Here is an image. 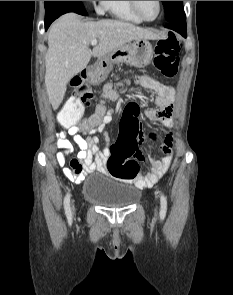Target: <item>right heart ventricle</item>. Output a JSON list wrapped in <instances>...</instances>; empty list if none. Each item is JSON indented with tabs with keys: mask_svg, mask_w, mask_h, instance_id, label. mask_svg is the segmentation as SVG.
I'll list each match as a JSON object with an SVG mask.
<instances>
[{
	"mask_svg": "<svg viewBox=\"0 0 233 295\" xmlns=\"http://www.w3.org/2000/svg\"><path fill=\"white\" fill-rule=\"evenodd\" d=\"M106 10L115 18L134 23L142 22L133 12L129 1H107Z\"/></svg>",
	"mask_w": 233,
	"mask_h": 295,
	"instance_id": "right-heart-ventricle-1",
	"label": "right heart ventricle"
}]
</instances>
